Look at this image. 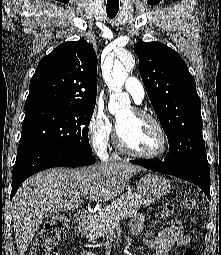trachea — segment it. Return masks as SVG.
Here are the masks:
<instances>
[{
	"label": "trachea",
	"instance_id": "trachea-1",
	"mask_svg": "<svg viewBox=\"0 0 221 255\" xmlns=\"http://www.w3.org/2000/svg\"><path fill=\"white\" fill-rule=\"evenodd\" d=\"M106 12L109 16V18H114L116 16V14L118 13V9H110V8H107L106 9Z\"/></svg>",
	"mask_w": 221,
	"mask_h": 255
}]
</instances>
